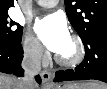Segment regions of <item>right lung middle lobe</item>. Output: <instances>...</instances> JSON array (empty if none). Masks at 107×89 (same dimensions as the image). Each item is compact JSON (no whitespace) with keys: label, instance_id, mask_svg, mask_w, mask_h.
Wrapping results in <instances>:
<instances>
[{"label":"right lung middle lobe","instance_id":"1","mask_svg":"<svg viewBox=\"0 0 107 89\" xmlns=\"http://www.w3.org/2000/svg\"><path fill=\"white\" fill-rule=\"evenodd\" d=\"M17 25V28L14 26ZM23 28L13 20L8 19V14L0 15V42L9 46L20 43Z\"/></svg>","mask_w":107,"mask_h":89}]
</instances>
